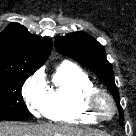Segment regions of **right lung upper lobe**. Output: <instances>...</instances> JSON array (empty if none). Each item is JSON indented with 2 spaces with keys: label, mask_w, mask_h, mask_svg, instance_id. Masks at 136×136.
<instances>
[{
  "label": "right lung upper lobe",
  "mask_w": 136,
  "mask_h": 136,
  "mask_svg": "<svg viewBox=\"0 0 136 136\" xmlns=\"http://www.w3.org/2000/svg\"><path fill=\"white\" fill-rule=\"evenodd\" d=\"M52 41L30 34L19 23H11L0 34V74L34 73L48 59Z\"/></svg>",
  "instance_id": "obj_1"
}]
</instances>
